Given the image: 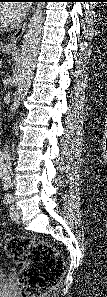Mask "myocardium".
Here are the masks:
<instances>
[{"instance_id":"1","label":"myocardium","mask_w":107,"mask_h":297,"mask_svg":"<svg viewBox=\"0 0 107 297\" xmlns=\"http://www.w3.org/2000/svg\"><path fill=\"white\" fill-rule=\"evenodd\" d=\"M9 27V24H7V23H3V22H1V24H0V30H2V29H6V28H8Z\"/></svg>"}]
</instances>
